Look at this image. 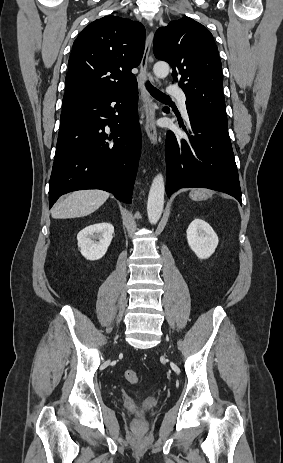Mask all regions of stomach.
I'll list each match as a JSON object with an SVG mask.
<instances>
[{
    "instance_id": "0dacf381",
    "label": "stomach",
    "mask_w": 283,
    "mask_h": 463,
    "mask_svg": "<svg viewBox=\"0 0 283 463\" xmlns=\"http://www.w3.org/2000/svg\"><path fill=\"white\" fill-rule=\"evenodd\" d=\"M190 196L196 200L205 199L207 197V191L204 189H196L191 191Z\"/></svg>"
}]
</instances>
